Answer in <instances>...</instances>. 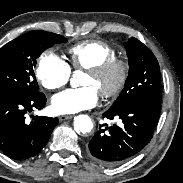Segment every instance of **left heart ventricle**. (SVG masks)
Instances as JSON below:
<instances>
[{
  "label": "left heart ventricle",
  "mask_w": 183,
  "mask_h": 183,
  "mask_svg": "<svg viewBox=\"0 0 183 183\" xmlns=\"http://www.w3.org/2000/svg\"><path fill=\"white\" fill-rule=\"evenodd\" d=\"M117 76L118 73L116 71L101 78H96L86 73L81 84L83 86H92L100 93L102 90L110 88L117 80Z\"/></svg>",
  "instance_id": "b2bd125f"
}]
</instances>
